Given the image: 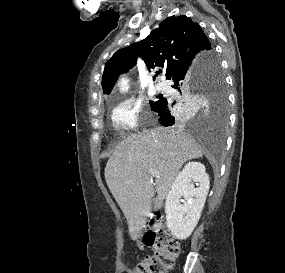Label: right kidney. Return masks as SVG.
I'll use <instances>...</instances> for the list:
<instances>
[{
	"mask_svg": "<svg viewBox=\"0 0 285 273\" xmlns=\"http://www.w3.org/2000/svg\"><path fill=\"white\" fill-rule=\"evenodd\" d=\"M209 186V175L200 162L187 163L176 177L166 198L165 213L167 227L177 239H187L193 232L201 216Z\"/></svg>",
	"mask_w": 285,
	"mask_h": 273,
	"instance_id": "1",
	"label": "right kidney"
}]
</instances>
